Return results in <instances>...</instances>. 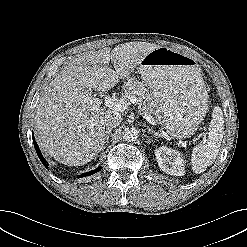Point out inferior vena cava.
<instances>
[{"instance_id":"inferior-vena-cava-1","label":"inferior vena cava","mask_w":247,"mask_h":247,"mask_svg":"<svg viewBox=\"0 0 247 247\" xmlns=\"http://www.w3.org/2000/svg\"><path fill=\"white\" fill-rule=\"evenodd\" d=\"M104 121V124L106 127H108V129L114 128L121 123L122 117L118 112H111L105 116Z\"/></svg>"}]
</instances>
